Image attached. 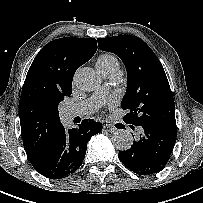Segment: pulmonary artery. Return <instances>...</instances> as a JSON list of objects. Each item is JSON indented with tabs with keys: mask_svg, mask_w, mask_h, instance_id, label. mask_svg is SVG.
<instances>
[{
	"mask_svg": "<svg viewBox=\"0 0 203 203\" xmlns=\"http://www.w3.org/2000/svg\"><path fill=\"white\" fill-rule=\"evenodd\" d=\"M106 90V88H102L99 92L95 93L91 99L80 103L76 107L68 109L66 111V117L71 119L75 116H80L92 112L97 107L99 100L104 97Z\"/></svg>",
	"mask_w": 203,
	"mask_h": 203,
	"instance_id": "obj_1",
	"label": "pulmonary artery"
}]
</instances>
